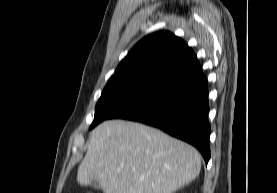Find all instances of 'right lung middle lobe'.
<instances>
[{
  "instance_id": "dd1d6c3e",
  "label": "right lung middle lobe",
  "mask_w": 277,
  "mask_h": 193,
  "mask_svg": "<svg viewBox=\"0 0 277 193\" xmlns=\"http://www.w3.org/2000/svg\"><path fill=\"white\" fill-rule=\"evenodd\" d=\"M151 93L147 90L111 88L104 89L95 108L94 120L90 129L100 122L110 119L122 110L132 106L140 99Z\"/></svg>"
}]
</instances>
